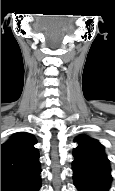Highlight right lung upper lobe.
<instances>
[{
  "mask_svg": "<svg viewBox=\"0 0 115 191\" xmlns=\"http://www.w3.org/2000/svg\"><path fill=\"white\" fill-rule=\"evenodd\" d=\"M36 139L29 133L14 134L1 145V177L32 173L40 168Z\"/></svg>",
  "mask_w": 115,
  "mask_h": 191,
  "instance_id": "right-lung-upper-lobe-1",
  "label": "right lung upper lobe"
}]
</instances>
